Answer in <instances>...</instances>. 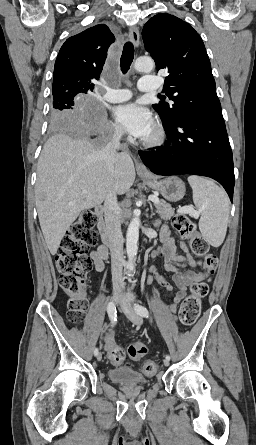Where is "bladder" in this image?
Returning <instances> with one entry per match:
<instances>
[{"mask_svg": "<svg viewBox=\"0 0 256 445\" xmlns=\"http://www.w3.org/2000/svg\"><path fill=\"white\" fill-rule=\"evenodd\" d=\"M107 375L111 382L124 386L149 385L150 383V379L128 366L111 368L108 370Z\"/></svg>", "mask_w": 256, "mask_h": 445, "instance_id": "31cf9c89", "label": "bladder"}]
</instances>
